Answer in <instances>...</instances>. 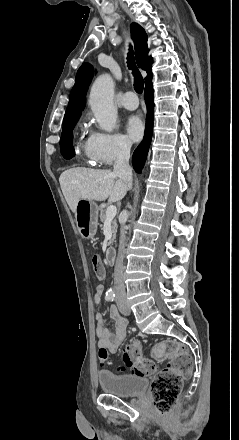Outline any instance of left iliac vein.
<instances>
[{"label": "left iliac vein", "mask_w": 239, "mask_h": 440, "mask_svg": "<svg viewBox=\"0 0 239 440\" xmlns=\"http://www.w3.org/2000/svg\"><path fill=\"white\" fill-rule=\"evenodd\" d=\"M117 304H118L120 312L123 315H130L131 311H130V308L128 307V305L126 303L118 300Z\"/></svg>", "instance_id": "4c4485c4"}]
</instances>
